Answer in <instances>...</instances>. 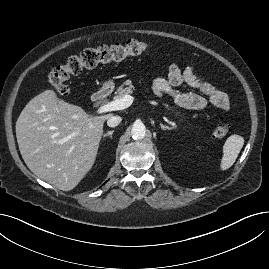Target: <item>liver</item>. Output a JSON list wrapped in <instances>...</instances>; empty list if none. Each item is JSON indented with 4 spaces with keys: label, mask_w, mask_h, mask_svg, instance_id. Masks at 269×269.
<instances>
[{
    "label": "liver",
    "mask_w": 269,
    "mask_h": 269,
    "mask_svg": "<svg viewBox=\"0 0 269 269\" xmlns=\"http://www.w3.org/2000/svg\"><path fill=\"white\" fill-rule=\"evenodd\" d=\"M110 115H90L59 99L53 90H45L27 103L16 122L24 162L56 188L74 189L95 162Z\"/></svg>",
    "instance_id": "liver-1"
}]
</instances>
